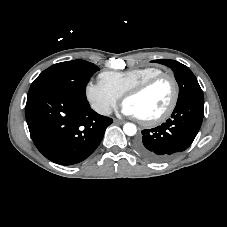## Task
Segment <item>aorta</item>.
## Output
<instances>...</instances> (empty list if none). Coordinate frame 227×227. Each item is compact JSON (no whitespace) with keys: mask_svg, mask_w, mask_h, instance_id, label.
I'll return each mask as SVG.
<instances>
[{"mask_svg":"<svg viewBox=\"0 0 227 227\" xmlns=\"http://www.w3.org/2000/svg\"><path fill=\"white\" fill-rule=\"evenodd\" d=\"M123 131L128 136H134L137 132L136 125L133 123H126L123 126Z\"/></svg>","mask_w":227,"mask_h":227,"instance_id":"762f6f07","label":"aorta"}]
</instances>
